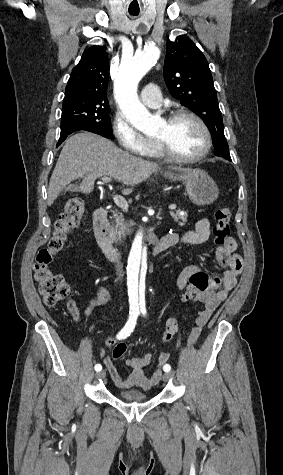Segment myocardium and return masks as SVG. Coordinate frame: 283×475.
<instances>
[{"mask_svg": "<svg viewBox=\"0 0 283 475\" xmlns=\"http://www.w3.org/2000/svg\"><path fill=\"white\" fill-rule=\"evenodd\" d=\"M182 117H189L195 120L200 125V127L202 128L204 132L203 147L196 155L185 157V158L176 157L169 152L166 146V143L163 140L154 138V142L156 144V149L158 151L160 158L165 160L166 162L170 164H173V162H190V164H195L203 160L210 153V150L212 147L210 129L200 116L187 110L172 111L168 114L166 120L169 123H171Z\"/></svg>", "mask_w": 283, "mask_h": 475, "instance_id": "1", "label": "myocardium"}]
</instances>
